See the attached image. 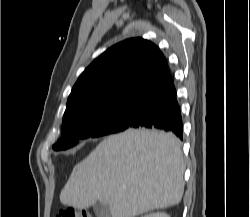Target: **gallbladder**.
<instances>
[{"instance_id":"bac80fb5","label":"gallbladder","mask_w":250,"mask_h":217,"mask_svg":"<svg viewBox=\"0 0 250 217\" xmlns=\"http://www.w3.org/2000/svg\"><path fill=\"white\" fill-rule=\"evenodd\" d=\"M94 212L96 214V217H111L109 205L102 202H97L94 205Z\"/></svg>"}]
</instances>
